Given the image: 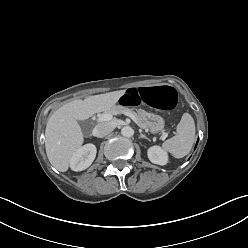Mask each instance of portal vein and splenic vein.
I'll return each instance as SVG.
<instances>
[{"label":"portal vein and splenic vein","instance_id":"portal-vein-and-splenic-vein-1","mask_svg":"<svg viewBox=\"0 0 248 248\" xmlns=\"http://www.w3.org/2000/svg\"><path fill=\"white\" fill-rule=\"evenodd\" d=\"M126 115L129 116L131 119H133V121H134L135 123H137V121H136V119H135L134 116L129 115V114H126ZM112 118H113V115H112V114H110V113H103V114L98 118V121H99V122L110 121V120H112ZM137 124H138V123H137Z\"/></svg>","mask_w":248,"mask_h":248}]
</instances>
